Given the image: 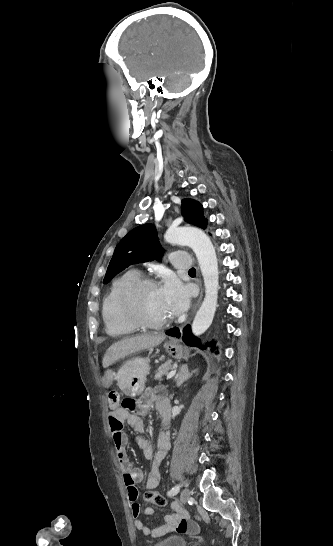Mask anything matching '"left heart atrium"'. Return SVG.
Masks as SVG:
<instances>
[{"instance_id": "left-heart-atrium-1", "label": "left heart atrium", "mask_w": 333, "mask_h": 546, "mask_svg": "<svg viewBox=\"0 0 333 546\" xmlns=\"http://www.w3.org/2000/svg\"><path fill=\"white\" fill-rule=\"evenodd\" d=\"M159 290L170 316L179 315L187 309L188 291L175 276L166 275Z\"/></svg>"}]
</instances>
